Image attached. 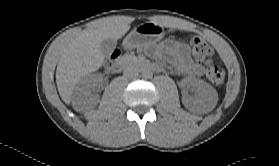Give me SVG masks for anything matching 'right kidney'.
Listing matches in <instances>:
<instances>
[{
  "label": "right kidney",
  "mask_w": 279,
  "mask_h": 166,
  "mask_svg": "<svg viewBox=\"0 0 279 166\" xmlns=\"http://www.w3.org/2000/svg\"><path fill=\"white\" fill-rule=\"evenodd\" d=\"M101 82V78L89 76L82 79L74 91L75 100L77 103L86 105L94 98V93Z\"/></svg>",
  "instance_id": "1"
}]
</instances>
